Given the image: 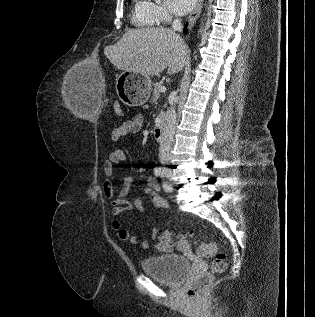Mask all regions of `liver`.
I'll return each mask as SVG.
<instances>
[{
    "instance_id": "1",
    "label": "liver",
    "mask_w": 315,
    "mask_h": 317,
    "mask_svg": "<svg viewBox=\"0 0 315 317\" xmlns=\"http://www.w3.org/2000/svg\"><path fill=\"white\" fill-rule=\"evenodd\" d=\"M104 54L117 69L150 77L166 68L168 74L181 71L189 51L174 30L148 27L127 31L115 45L106 47Z\"/></svg>"
}]
</instances>
